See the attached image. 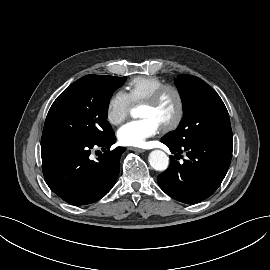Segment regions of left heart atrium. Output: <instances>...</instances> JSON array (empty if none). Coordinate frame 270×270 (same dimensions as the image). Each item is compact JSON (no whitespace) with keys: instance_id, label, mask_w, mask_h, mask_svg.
I'll return each instance as SVG.
<instances>
[{"instance_id":"left-heart-atrium-1","label":"left heart atrium","mask_w":270,"mask_h":270,"mask_svg":"<svg viewBox=\"0 0 270 270\" xmlns=\"http://www.w3.org/2000/svg\"><path fill=\"white\" fill-rule=\"evenodd\" d=\"M160 128L154 119L146 117L127 122L120 127L117 136L122 145L140 147L148 138L156 135Z\"/></svg>"}]
</instances>
